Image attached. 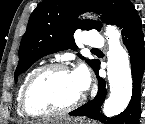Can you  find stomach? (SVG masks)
<instances>
[{"label": "stomach", "mask_w": 145, "mask_h": 124, "mask_svg": "<svg viewBox=\"0 0 145 124\" xmlns=\"http://www.w3.org/2000/svg\"><path fill=\"white\" fill-rule=\"evenodd\" d=\"M46 124H94L89 121H84L82 119H70V118H57L49 121Z\"/></svg>", "instance_id": "stomach-1"}]
</instances>
